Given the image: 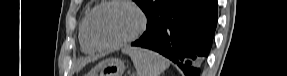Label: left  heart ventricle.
Segmentation results:
<instances>
[{"label": "left heart ventricle", "mask_w": 287, "mask_h": 76, "mask_svg": "<svg viewBox=\"0 0 287 76\" xmlns=\"http://www.w3.org/2000/svg\"><path fill=\"white\" fill-rule=\"evenodd\" d=\"M139 24L135 11L124 4H111L98 10L93 17L92 32L102 43H114L131 35Z\"/></svg>", "instance_id": "b2bd125f"}]
</instances>
